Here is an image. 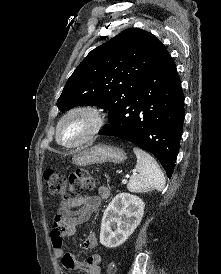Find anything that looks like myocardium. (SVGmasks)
I'll return each instance as SVG.
<instances>
[{
    "label": "myocardium",
    "mask_w": 221,
    "mask_h": 274,
    "mask_svg": "<svg viewBox=\"0 0 221 274\" xmlns=\"http://www.w3.org/2000/svg\"><path fill=\"white\" fill-rule=\"evenodd\" d=\"M74 116H82L89 122L88 130L74 142H64L61 139V129L64 123ZM105 116L103 111L94 105H78L67 110L56 125L55 138L59 145L65 148H75L91 140L104 126Z\"/></svg>",
    "instance_id": "myocardium-1"
}]
</instances>
